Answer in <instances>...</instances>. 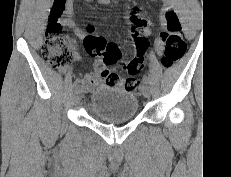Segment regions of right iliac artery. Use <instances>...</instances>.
<instances>
[{
  "label": "right iliac artery",
  "mask_w": 231,
  "mask_h": 177,
  "mask_svg": "<svg viewBox=\"0 0 231 177\" xmlns=\"http://www.w3.org/2000/svg\"><path fill=\"white\" fill-rule=\"evenodd\" d=\"M78 85V81H75L73 86L76 87Z\"/></svg>",
  "instance_id": "right-iliac-artery-1"
}]
</instances>
